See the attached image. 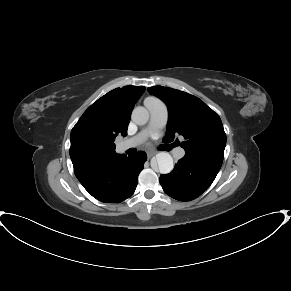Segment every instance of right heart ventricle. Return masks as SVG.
I'll return each instance as SVG.
<instances>
[{
    "mask_svg": "<svg viewBox=\"0 0 291 291\" xmlns=\"http://www.w3.org/2000/svg\"><path fill=\"white\" fill-rule=\"evenodd\" d=\"M147 99H155V97H148Z\"/></svg>",
    "mask_w": 291,
    "mask_h": 291,
    "instance_id": "e07e8e85",
    "label": "right heart ventricle"
}]
</instances>
